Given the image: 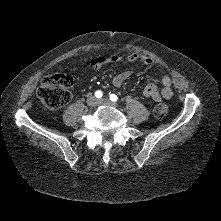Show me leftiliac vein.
<instances>
[{"mask_svg": "<svg viewBox=\"0 0 221 221\" xmlns=\"http://www.w3.org/2000/svg\"><path fill=\"white\" fill-rule=\"evenodd\" d=\"M98 104L118 107V105L116 103L111 102L108 98H102V99L98 100Z\"/></svg>", "mask_w": 221, "mask_h": 221, "instance_id": "1", "label": "left iliac vein"}]
</instances>
